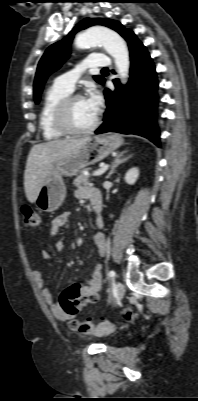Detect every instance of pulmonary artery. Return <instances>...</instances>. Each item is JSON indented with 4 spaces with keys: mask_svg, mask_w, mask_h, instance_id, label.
<instances>
[{
    "mask_svg": "<svg viewBox=\"0 0 198 401\" xmlns=\"http://www.w3.org/2000/svg\"><path fill=\"white\" fill-rule=\"evenodd\" d=\"M110 60L102 55H91L86 60H84L80 65L65 74L59 76L55 80V85L72 92L74 90L75 83L79 76L86 70L90 68L97 67H108L110 66Z\"/></svg>",
    "mask_w": 198,
    "mask_h": 401,
    "instance_id": "obj_1",
    "label": "pulmonary artery"
}]
</instances>
